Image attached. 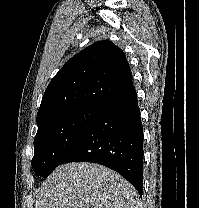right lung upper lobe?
Segmentation results:
<instances>
[{
  "mask_svg": "<svg viewBox=\"0 0 199 208\" xmlns=\"http://www.w3.org/2000/svg\"><path fill=\"white\" fill-rule=\"evenodd\" d=\"M133 86L124 52L109 41L85 48L53 77L43 95L37 123L72 108L101 106Z\"/></svg>",
  "mask_w": 199,
  "mask_h": 208,
  "instance_id": "1",
  "label": "right lung upper lobe"
}]
</instances>
